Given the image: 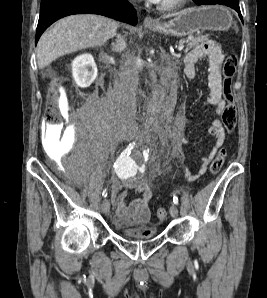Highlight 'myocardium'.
<instances>
[{
	"instance_id": "f54148a6",
	"label": "myocardium",
	"mask_w": 267,
	"mask_h": 298,
	"mask_svg": "<svg viewBox=\"0 0 267 298\" xmlns=\"http://www.w3.org/2000/svg\"><path fill=\"white\" fill-rule=\"evenodd\" d=\"M188 0H173L170 2H160L158 8L164 12H173L180 9Z\"/></svg>"
}]
</instances>
